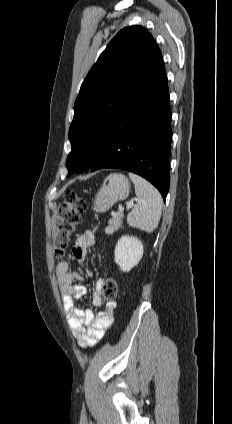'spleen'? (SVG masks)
<instances>
[{"instance_id": "1", "label": "spleen", "mask_w": 232, "mask_h": 424, "mask_svg": "<svg viewBox=\"0 0 232 424\" xmlns=\"http://www.w3.org/2000/svg\"><path fill=\"white\" fill-rule=\"evenodd\" d=\"M135 186L138 201L127 216L129 226L151 233L156 229L162 212V197L159 191L137 174L129 173Z\"/></svg>"}]
</instances>
